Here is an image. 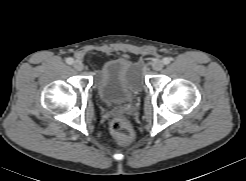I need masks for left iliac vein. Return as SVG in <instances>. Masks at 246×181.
I'll return each mask as SVG.
<instances>
[{"mask_svg": "<svg viewBox=\"0 0 246 181\" xmlns=\"http://www.w3.org/2000/svg\"><path fill=\"white\" fill-rule=\"evenodd\" d=\"M164 66V63L163 61L161 60H155L153 63H152V68L153 70L155 71H160Z\"/></svg>", "mask_w": 246, "mask_h": 181, "instance_id": "1", "label": "left iliac vein"}]
</instances>
